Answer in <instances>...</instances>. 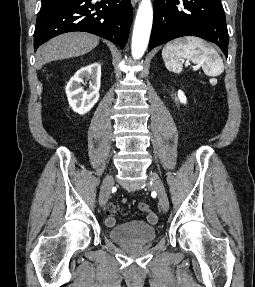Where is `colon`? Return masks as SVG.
<instances>
[{"label": "colon", "instance_id": "1", "mask_svg": "<svg viewBox=\"0 0 255 287\" xmlns=\"http://www.w3.org/2000/svg\"><path fill=\"white\" fill-rule=\"evenodd\" d=\"M139 209L143 212H146L147 214L152 213V210H151L149 204H147L145 202L139 203Z\"/></svg>", "mask_w": 255, "mask_h": 287}]
</instances>
